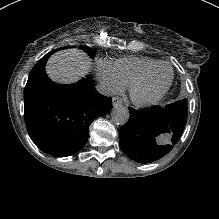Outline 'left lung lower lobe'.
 I'll return each mask as SVG.
<instances>
[{
	"instance_id": "0a47b994",
	"label": "left lung lower lobe",
	"mask_w": 219,
	"mask_h": 219,
	"mask_svg": "<svg viewBox=\"0 0 219 219\" xmlns=\"http://www.w3.org/2000/svg\"><path fill=\"white\" fill-rule=\"evenodd\" d=\"M129 112L119 143L122 151L139 163L153 162L170 152L180 139L187 118L159 106L140 111L129 108Z\"/></svg>"
}]
</instances>
